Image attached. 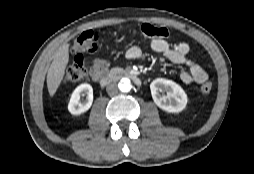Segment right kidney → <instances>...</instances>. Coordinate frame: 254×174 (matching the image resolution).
I'll use <instances>...</instances> for the list:
<instances>
[{"mask_svg": "<svg viewBox=\"0 0 254 174\" xmlns=\"http://www.w3.org/2000/svg\"><path fill=\"white\" fill-rule=\"evenodd\" d=\"M81 96H86V100L81 101ZM93 103V88L90 84L79 85L72 93L68 110L73 115H79L90 109Z\"/></svg>", "mask_w": 254, "mask_h": 174, "instance_id": "ca27d5eb", "label": "right kidney"}]
</instances>
